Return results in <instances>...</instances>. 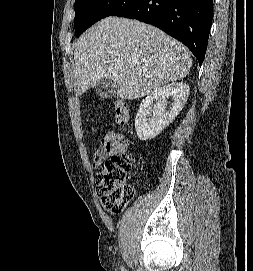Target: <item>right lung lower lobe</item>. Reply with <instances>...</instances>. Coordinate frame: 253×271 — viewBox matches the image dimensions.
<instances>
[{"label":"right lung lower lobe","instance_id":"98d812e1","mask_svg":"<svg viewBox=\"0 0 253 271\" xmlns=\"http://www.w3.org/2000/svg\"><path fill=\"white\" fill-rule=\"evenodd\" d=\"M112 16L152 24L186 45L201 66L213 18V0H128Z\"/></svg>","mask_w":253,"mask_h":271}]
</instances>
